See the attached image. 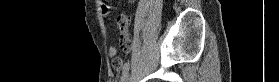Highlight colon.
I'll list each match as a JSON object with an SVG mask.
<instances>
[{
    "label": "colon",
    "mask_w": 279,
    "mask_h": 82,
    "mask_svg": "<svg viewBox=\"0 0 279 82\" xmlns=\"http://www.w3.org/2000/svg\"><path fill=\"white\" fill-rule=\"evenodd\" d=\"M117 22H118V26L121 27V28H123V27H125L126 25H128L129 19H128V17H127L126 15L121 14V15H119V17H118Z\"/></svg>",
    "instance_id": "5ec220e1"
}]
</instances>
